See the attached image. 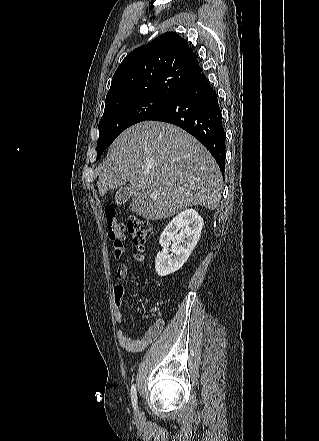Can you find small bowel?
I'll list each match as a JSON object with an SVG mask.
<instances>
[{"instance_id":"obj_1","label":"small bowel","mask_w":319,"mask_h":441,"mask_svg":"<svg viewBox=\"0 0 319 441\" xmlns=\"http://www.w3.org/2000/svg\"><path fill=\"white\" fill-rule=\"evenodd\" d=\"M134 257L137 261H143L144 259L141 254H135ZM127 273L128 269L125 265L118 266L117 278L119 279V282L115 283L112 290L115 318L119 326L117 330V340L122 348L129 351L138 352L144 350L158 339L164 329L165 322L160 317L161 306L159 304H150V300L146 298V302L150 304V314L152 317L151 324L146 329L144 335L139 339H133L125 333L122 328L124 285L121 280L126 278Z\"/></svg>"}]
</instances>
